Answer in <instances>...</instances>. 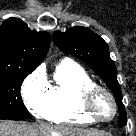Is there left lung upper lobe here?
<instances>
[{"mask_svg":"<svg viewBox=\"0 0 136 136\" xmlns=\"http://www.w3.org/2000/svg\"><path fill=\"white\" fill-rule=\"evenodd\" d=\"M52 38L61 51L77 57L101 77L117 101L120 126L126 125V111L122 103L115 63L109 56L107 43L85 27H73L66 32L56 31Z\"/></svg>","mask_w":136,"mask_h":136,"instance_id":"left-lung-upper-lobe-1","label":"left lung upper lobe"}]
</instances>
